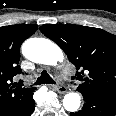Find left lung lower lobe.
<instances>
[{
	"label": "left lung lower lobe",
	"mask_w": 116,
	"mask_h": 116,
	"mask_svg": "<svg viewBox=\"0 0 116 116\" xmlns=\"http://www.w3.org/2000/svg\"><path fill=\"white\" fill-rule=\"evenodd\" d=\"M84 105L81 110L70 113L71 116H115L116 96L97 94L92 92L81 93Z\"/></svg>",
	"instance_id": "0a47b994"
}]
</instances>
